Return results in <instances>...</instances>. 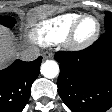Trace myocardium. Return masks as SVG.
<instances>
[{
	"instance_id": "myocardium-1",
	"label": "myocardium",
	"mask_w": 112,
	"mask_h": 112,
	"mask_svg": "<svg viewBox=\"0 0 112 112\" xmlns=\"http://www.w3.org/2000/svg\"><path fill=\"white\" fill-rule=\"evenodd\" d=\"M87 18H92L96 21V30L93 33V35L91 37H89L88 39L80 40L77 37V32H78V29H79L81 23ZM100 32H101V24H100V21L98 20V18H96L95 16L90 15V14L81 15L76 20V22L73 24L67 37L65 38L66 47L71 51L84 50V49L90 47L99 38Z\"/></svg>"
}]
</instances>
